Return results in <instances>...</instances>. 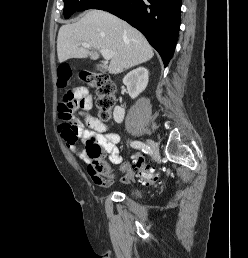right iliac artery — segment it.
<instances>
[{
    "instance_id": "right-iliac-artery-1",
    "label": "right iliac artery",
    "mask_w": 248,
    "mask_h": 258,
    "mask_svg": "<svg viewBox=\"0 0 248 258\" xmlns=\"http://www.w3.org/2000/svg\"><path fill=\"white\" fill-rule=\"evenodd\" d=\"M131 146L133 148L142 150L144 153H147L149 151V149H150L146 144H144L141 141H132L131 142Z\"/></svg>"
}]
</instances>
